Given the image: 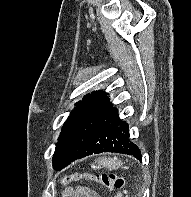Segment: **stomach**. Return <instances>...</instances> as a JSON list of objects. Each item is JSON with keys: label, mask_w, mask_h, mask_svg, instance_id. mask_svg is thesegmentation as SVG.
Here are the masks:
<instances>
[{"label": "stomach", "mask_w": 191, "mask_h": 197, "mask_svg": "<svg viewBox=\"0 0 191 197\" xmlns=\"http://www.w3.org/2000/svg\"><path fill=\"white\" fill-rule=\"evenodd\" d=\"M122 166L120 160L114 158H100L96 161L97 168H106L108 170H116Z\"/></svg>", "instance_id": "stomach-1"}]
</instances>
